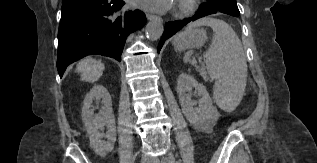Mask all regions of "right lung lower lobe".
Instances as JSON below:
<instances>
[{
	"label": "right lung lower lobe",
	"mask_w": 317,
	"mask_h": 163,
	"mask_svg": "<svg viewBox=\"0 0 317 163\" xmlns=\"http://www.w3.org/2000/svg\"><path fill=\"white\" fill-rule=\"evenodd\" d=\"M124 4L122 0H79L62 5L57 55L60 77L69 64L87 55L121 61L126 37L146 23L140 10L121 12Z\"/></svg>",
	"instance_id": "98d812e1"
}]
</instances>
